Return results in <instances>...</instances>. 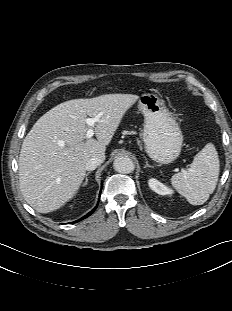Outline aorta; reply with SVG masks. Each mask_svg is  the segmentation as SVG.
Masks as SVG:
<instances>
[{"instance_id": "1", "label": "aorta", "mask_w": 232, "mask_h": 311, "mask_svg": "<svg viewBox=\"0 0 232 311\" xmlns=\"http://www.w3.org/2000/svg\"><path fill=\"white\" fill-rule=\"evenodd\" d=\"M114 169L122 174H129L134 171L135 165L128 156H119L114 160Z\"/></svg>"}]
</instances>
